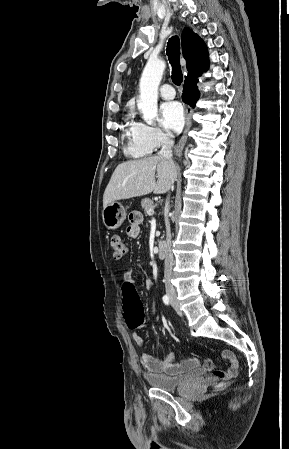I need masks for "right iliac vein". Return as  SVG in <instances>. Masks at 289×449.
<instances>
[{
	"mask_svg": "<svg viewBox=\"0 0 289 449\" xmlns=\"http://www.w3.org/2000/svg\"><path fill=\"white\" fill-rule=\"evenodd\" d=\"M169 298L171 299V303L173 304V306L176 308V310H178V312L181 314L180 308H179V304L178 301L176 299V296L172 293L169 294Z\"/></svg>",
	"mask_w": 289,
	"mask_h": 449,
	"instance_id": "63e3f726",
	"label": "right iliac vein"
}]
</instances>
